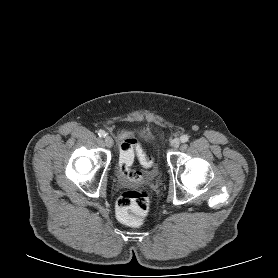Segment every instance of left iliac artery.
I'll return each mask as SVG.
<instances>
[{
	"label": "left iliac artery",
	"mask_w": 278,
	"mask_h": 278,
	"mask_svg": "<svg viewBox=\"0 0 278 278\" xmlns=\"http://www.w3.org/2000/svg\"><path fill=\"white\" fill-rule=\"evenodd\" d=\"M180 140H181L182 143H185L189 140V136L188 135H182L180 137Z\"/></svg>",
	"instance_id": "obj_1"
}]
</instances>
